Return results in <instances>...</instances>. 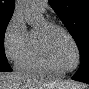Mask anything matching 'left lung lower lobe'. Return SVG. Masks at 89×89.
Here are the masks:
<instances>
[{
    "mask_svg": "<svg viewBox=\"0 0 89 89\" xmlns=\"http://www.w3.org/2000/svg\"><path fill=\"white\" fill-rule=\"evenodd\" d=\"M73 80L89 83V62L80 65L79 70L72 77Z\"/></svg>",
    "mask_w": 89,
    "mask_h": 89,
    "instance_id": "left-lung-lower-lobe-1",
    "label": "left lung lower lobe"
}]
</instances>
